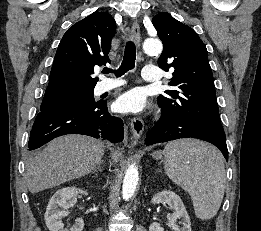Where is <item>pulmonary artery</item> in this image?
<instances>
[{
    "label": "pulmonary artery",
    "mask_w": 261,
    "mask_h": 231,
    "mask_svg": "<svg viewBox=\"0 0 261 231\" xmlns=\"http://www.w3.org/2000/svg\"><path fill=\"white\" fill-rule=\"evenodd\" d=\"M142 77L147 82H158L159 81V67L156 66H145L143 68ZM124 84L123 80H104L101 82L100 91H108L115 89Z\"/></svg>",
    "instance_id": "1"
}]
</instances>
